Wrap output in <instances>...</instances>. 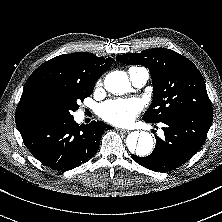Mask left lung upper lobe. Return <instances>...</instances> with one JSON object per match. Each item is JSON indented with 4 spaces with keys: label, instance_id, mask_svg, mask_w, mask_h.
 Returning a JSON list of instances; mask_svg holds the SVG:
<instances>
[{
    "label": "left lung upper lobe",
    "instance_id": "obj_1",
    "mask_svg": "<svg viewBox=\"0 0 222 222\" xmlns=\"http://www.w3.org/2000/svg\"><path fill=\"white\" fill-rule=\"evenodd\" d=\"M122 64L143 65L150 70L153 100L144 114L148 123H158L181 113L199 112L213 115L204 79L186 57L166 48L116 56Z\"/></svg>",
    "mask_w": 222,
    "mask_h": 222
}]
</instances>
